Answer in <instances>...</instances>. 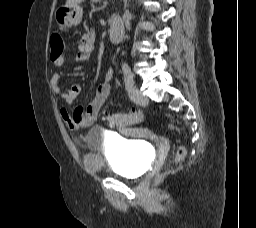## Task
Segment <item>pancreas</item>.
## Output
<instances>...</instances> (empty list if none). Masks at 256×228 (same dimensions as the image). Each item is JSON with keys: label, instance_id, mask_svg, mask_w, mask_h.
<instances>
[{"label": "pancreas", "instance_id": "pancreas-1", "mask_svg": "<svg viewBox=\"0 0 256 228\" xmlns=\"http://www.w3.org/2000/svg\"><path fill=\"white\" fill-rule=\"evenodd\" d=\"M92 2H99L100 0H91Z\"/></svg>", "mask_w": 256, "mask_h": 228}]
</instances>
